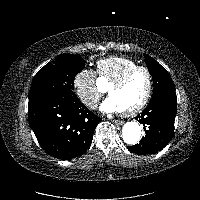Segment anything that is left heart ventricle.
Here are the masks:
<instances>
[{
  "label": "left heart ventricle",
  "instance_id": "1",
  "mask_svg": "<svg viewBox=\"0 0 200 200\" xmlns=\"http://www.w3.org/2000/svg\"><path fill=\"white\" fill-rule=\"evenodd\" d=\"M147 75L138 72L133 75L122 87L111 91L112 96L121 111L130 109L137 105L144 97L147 90Z\"/></svg>",
  "mask_w": 200,
  "mask_h": 200
}]
</instances>
